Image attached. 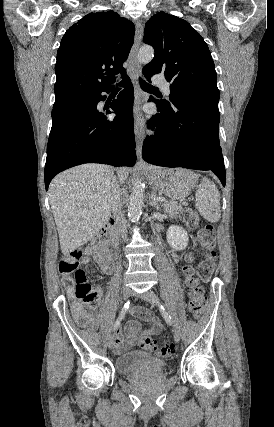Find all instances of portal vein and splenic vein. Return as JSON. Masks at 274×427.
Segmentation results:
<instances>
[{
  "label": "portal vein and splenic vein",
  "instance_id": "1",
  "mask_svg": "<svg viewBox=\"0 0 274 427\" xmlns=\"http://www.w3.org/2000/svg\"><path fill=\"white\" fill-rule=\"evenodd\" d=\"M159 202H165L164 198H158Z\"/></svg>",
  "mask_w": 274,
  "mask_h": 427
}]
</instances>
